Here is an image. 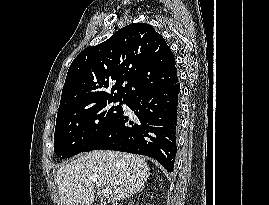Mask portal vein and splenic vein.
I'll use <instances>...</instances> for the list:
<instances>
[{
  "instance_id": "obj_1",
  "label": "portal vein and splenic vein",
  "mask_w": 269,
  "mask_h": 205,
  "mask_svg": "<svg viewBox=\"0 0 269 205\" xmlns=\"http://www.w3.org/2000/svg\"><path fill=\"white\" fill-rule=\"evenodd\" d=\"M100 194H101L102 196H108V195L110 194V190H109V189H103V190L100 192Z\"/></svg>"
}]
</instances>
